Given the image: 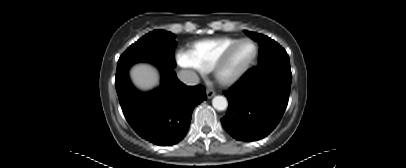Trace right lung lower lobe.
<instances>
[{
	"label": "right lung lower lobe",
	"instance_id": "98d812e1",
	"mask_svg": "<svg viewBox=\"0 0 406 168\" xmlns=\"http://www.w3.org/2000/svg\"><path fill=\"white\" fill-rule=\"evenodd\" d=\"M158 89L141 95L131 86L127 72L116 74L115 87L124 116L142 138L159 146H171L186 135L192 112L206 100L204 87H188L176 77L174 67L162 66Z\"/></svg>",
	"mask_w": 406,
	"mask_h": 168
}]
</instances>
